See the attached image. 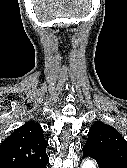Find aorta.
Here are the masks:
<instances>
[{
  "mask_svg": "<svg viewBox=\"0 0 127 168\" xmlns=\"http://www.w3.org/2000/svg\"><path fill=\"white\" fill-rule=\"evenodd\" d=\"M81 168H96V165L92 160L87 159L83 162Z\"/></svg>",
  "mask_w": 127,
  "mask_h": 168,
  "instance_id": "762f6f07",
  "label": "aorta"
}]
</instances>
